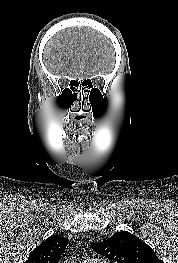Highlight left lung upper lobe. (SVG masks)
I'll list each match as a JSON object with an SVG mask.
<instances>
[{
  "instance_id": "1",
  "label": "left lung upper lobe",
  "mask_w": 178,
  "mask_h": 263,
  "mask_svg": "<svg viewBox=\"0 0 178 263\" xmlns=\"http://www.w3.org/2000/svg\"><path fill=\"white\" fill-rule=\"evenodd\" d=\"M91 247L96 253L117 263H163L149 245L125 231L103 242L94 243Z\"/></svg>"
}]
</instances>
